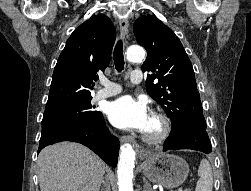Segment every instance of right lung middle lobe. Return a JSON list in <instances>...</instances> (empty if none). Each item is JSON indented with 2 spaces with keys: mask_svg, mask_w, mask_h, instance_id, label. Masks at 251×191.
<instances>
[{
  "mask_svg": "<svg viewBox=\"0 0 251 191\" xmlns=\"http://www.w3.org/2000/svg\"><path fill=\"white\" fill-rule=\"evenodd\" d=\"M91 100L92 98H89L46 108L42 119V130L71 120L90 123L100 121L103 115L101 112L94 110L96 106L91 104Z\"/></svg>",
  "mask_w": 251,
  "mask_h": 191,
  "instance_id": "right-lung-middle-lobe-1",
  "label": "right lung middle lobe"
}]
</instances>
